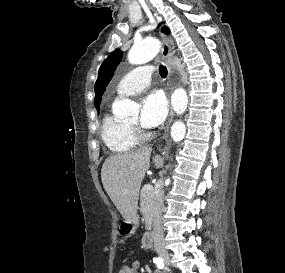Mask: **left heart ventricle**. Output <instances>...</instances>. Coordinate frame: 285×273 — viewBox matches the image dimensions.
<instances>
[{"mask_svg": "<svg viewBox=\"0 0 285 273\" xmlns=\"http://www.w3.org/2000/svg\"><path fill=\"white\" fill-rule=\"evenodd\" d=\"M137 122H138V119H137V118H135L134 120H132V121L130 122V125H136V124H137Z\"/></svg>", "mask_w": 285, "mask_h": 273, "instance_id": "left-heart-ventricle-1", "label": "left heart ventricle"}]
</instances>
